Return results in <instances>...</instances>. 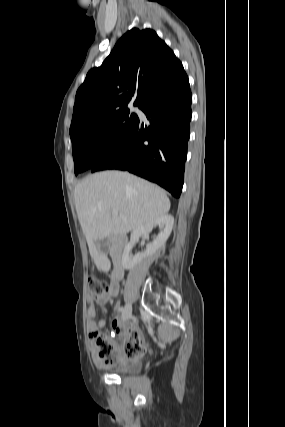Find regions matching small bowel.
Wrapping results in <instances>:
<instances>
[{
    "label": "small bowel",
    "instance_id": "obj_1",
    "mask_svg": "<svg viewBox=\"0 0 285 427\" xmlns=\"http://www.w3.org/2000/svg\"><path fill=\"white\" fill-rule=\"evenodd\" d=\"M119 292V279L113 278L111 279L108 290L99 295L97 298H89L88 300V311H87V331L89 335L95 331H98L100 328H104L108 325V321L104 318L97 319V307L105 309V305L112 299L113 297L117 296ZM115 310L119 311L121 310L120 305L115 306ZM110 325L112 326L114 332L118 336V340L113 341V350L116 354V360L115 361H109L102 359L99 356V351L94 344V342L91 343L92 351H93V357L95 360V363L99 367H106L110 364H118V365H124L126 361L122 359L123 355V349L127 345V341L129 338H131L133 335H138V332L133 324H126L122 325L117 317H114L110 321Z\"/></svg>",
    "mask_w": 285,
    "mask_h": 427
}]
</instances>
